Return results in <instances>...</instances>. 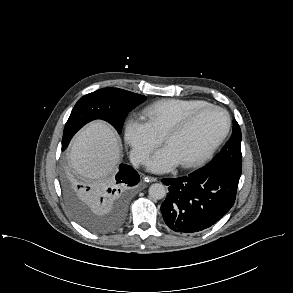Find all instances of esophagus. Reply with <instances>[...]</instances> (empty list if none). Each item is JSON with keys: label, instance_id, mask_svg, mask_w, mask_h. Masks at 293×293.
<instances>
[{"label": "esophagus", "instance_id": "1", "mask_svg": "<svg viewBox=\"0 0 293 293\" xmlns=\"http://www.w3.org/2000/svg\"><path fill=\"white\" fill-rule=\"evenodd\" d=\"M145 181H150V182H156L157 178L156 177H151V176H146L144 177Z\"/></svg>", "mask_w": 293, "mask_h": 293}]
</instances>
